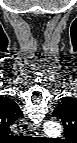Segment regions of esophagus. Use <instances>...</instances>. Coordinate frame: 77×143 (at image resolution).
<instances>
[{
	"mask_svg": "<svg viewBox=\"0 0 77 143\" xmlns=\"http://www.w3.org/2000/svg\"><path fill=\"white\" fill-rule=\"evenodd\" d=\"M19 125L24 134L32 135L34 133L32 125L26 119H20Z\"/></svg>",
	"mask_w": 77,
	"mask_h": 143,
	"instance_id": "obj_1",
	"label": "esophagus"
}]
</instances>
